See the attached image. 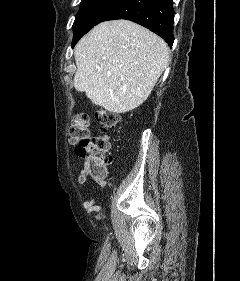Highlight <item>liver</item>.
Instances as JSON below:
<instances>
[{
	"label": "liver",
	"mask_w": 240,
	"mask_h": 281,
	"mask_svg": "<svg viewBox=\"0 0 240 281\" xmlns=\"http://www.w3.org/2000/svg\"><path fill=\"white\" fill-rule=\"evenodd\" d=\"M74 88L93 104L126 113L150 95L169 61L167 43L129 20L95 26L76 45Z\"/></svg>",
	"instance_id": "1"
}]
</instances>
